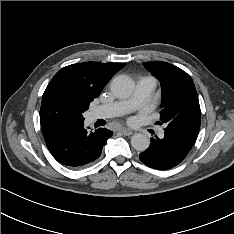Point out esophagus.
Instances as JSON below:
<instances>
[{"instance_id": "esophagus-1", "label": "esophagus", "mask_w": 234, "mask_h": 234, "mask_svg": "<svg viewBox=\"0 0 234 234\" xmlns=\"http://www.w3.org/2000/svg\"><path fill=\"white\" fill-rule=\"evenodd\" d=\"M119 132L123 135L130 136L133 134V131L127 128H121Z\"/></svg>"}]
</instances>
